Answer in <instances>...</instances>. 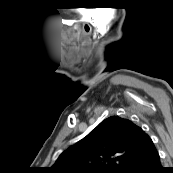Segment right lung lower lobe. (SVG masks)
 <instances>
[{"instance_id":"98d812e1","label":"right lung lower lobe","mask_w":173,"mask_h":173,"mask_svg":"<svg viewBox=\"0 0 173 173\" xmlns=\"http://www.w3.org/2000/svg\"><path fill=\"white\" fill-rule=\"evenodd\" d=\"M156 148L130 161L121 173H164Z\"/></svg>"}]
</instances>
